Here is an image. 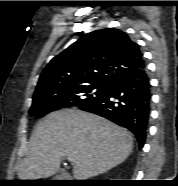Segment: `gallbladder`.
<instances>
[{
    "mask_svg": "<svg viewBox=\"0 0 178 186\" xmlns=\"http://www.w3.org/2000/svg\"><path fill=\"white\" fill-rule=\"evenodd\" d=\"M61 177V175H57L56 178L59 179Z\"/></svg>",
    "mask_w": 178,
    "mask_h": 186,
    "instance_id": "obj_1",
    "label": "gallbladder"
}]
</instances>
